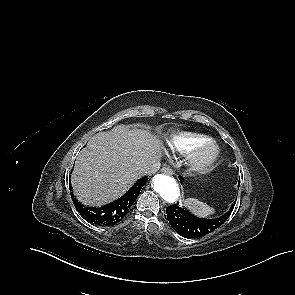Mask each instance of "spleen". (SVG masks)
Returning a JSON list of instances; mask_svg holds the SVG:
<instances>
[{"label":"spleen","mask_w":295,"mask_h":295,"mask_svg":"<svg viewBox=\"0 0 295 295\" xmlns=\"http://www.w3.org/2000/svg\"><path fill=\"white\" fill-rule=\"evenodd\" d=\"M185 206L200 217H207L215 212L214 208L194 198L186 199Z\"/></svg>","instance_id":"obj_1"}]
</instances>
